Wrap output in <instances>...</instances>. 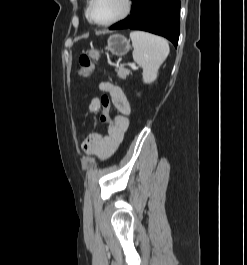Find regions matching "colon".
Listing matches in <instances>:
<instances>
[{"label":"colon","instance_id":"1","mask_svg":"<svg viewBox=\"0 0 247 265\" xmlns=\"http://www.w3.org/2000/svg\"><path fill=\"white\" fill-rule=\"evenodd\" d=\"M94 65L92 60L87 55H82L79 59V74L82 77H88L93 72ZM103 123H108L110 120V100L108 97L103 99L102 114L100 117Z\"/></svg>","mask_w":247,"mask_h":265}]
</instances>
